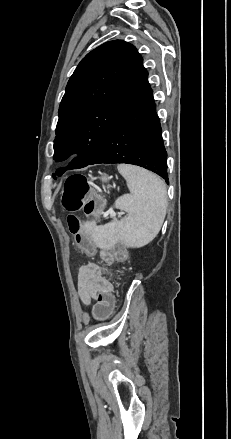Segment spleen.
<instances>
[{
  "label": "spleen",
  "instance_id": "obj_1",
  "mask_svg": "<svg viewBox=\"0 0 231 439\" xmlns=\"http://www.w3.org/2000/svg\"><path fill=\"white\" fill-rule=\"evenodd\" d=\"M130 194L115 201V207L127 213L119 221L97 226L86 222L84 228L98 247L111 248L117 241L127 247H141L156 237L167 209L166 186L157 175L133 165H118Z\"/></svg>",
  "mask_w": 231,
  "mask_h": 439
}]
</instances>
